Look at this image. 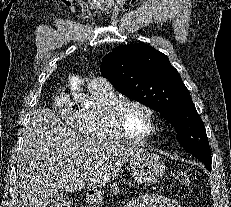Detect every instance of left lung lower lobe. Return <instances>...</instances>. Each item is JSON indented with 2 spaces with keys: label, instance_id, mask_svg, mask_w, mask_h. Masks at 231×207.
<instances>
[{
  "label": "left lung lower lobe",
  "instance_id": "left-lung-lower-lobe-1",
  "mask_svg": "<svg viewBox=\"0 0 231 207\" xmlns=\"http://www.w3.org/2000/svg\"><path fill=\"white\" fill-rule=\"evenodd\" d=\"M202 163L205 165V167L208 169V171H211V164L204 163V162H202Z\"/></svg>",
  "mask_w": 231,
  "mask_h": 207
}]
</instances>
